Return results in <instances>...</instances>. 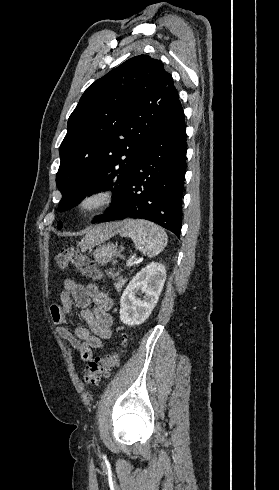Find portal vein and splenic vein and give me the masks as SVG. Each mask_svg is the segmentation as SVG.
I'll use <instances>...</instances> for the list:
<instances>
[{
	"label": "portal vein and splenic vein",
	"instance_id": "obj_1",
	"mask_svg": "<svg viewBox=\"0 0 279 490\" xmlns=\"http://www.w3.org/2000/svg\"><path fill=\"white\" fill-rule=\"evenodd\" d=\"M132 264H133L132 260H127L126 266H132Z\"/></svg>",
	"mask_w": 279,
	"mask_h": 490
}]
</instances>
